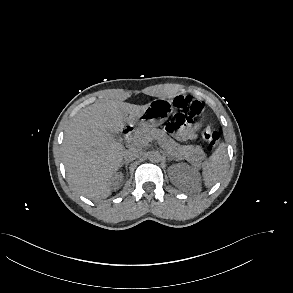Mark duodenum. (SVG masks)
I'll return each mask as SVG.
<instances>
[{
    "mask_svg": "<svg viewBox=\"0 0 293 293\" xmlns=\"http://www.w3.org/2000/svg\"><path fill=\"white\" fill-rule=\"evenodd\" d=\"M132 131H133V128L131 126H126L122 130V133L125 137H128L132 133Z\"/></svg>",
    "mask_w": 293,
    "mask_h": 293,
    "instance_id": "410a0bca",
    "label": "duodenum"
}]
</instances>
